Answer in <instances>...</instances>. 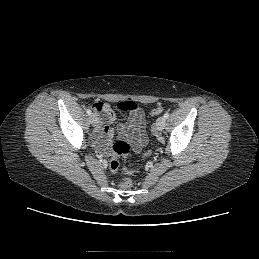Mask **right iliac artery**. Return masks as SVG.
Segmentation results:
<instances>
[{
  "mask_svg": "<svg viewBox=\"0 0 259 259\" xmlns=\"http://www.w3.org/2000/svg\"><path fill=\"white\" fill-rule=\"evenodd\" d=\"M87 114H88V115H91V114H92V112H91L90 109H87Z\"/></svg>",
  "mask_w": 259,
  "mask_h": 259,
  "instance_id": "right-iliac-artery-1",
  "label": "right iliac artery"
}]
</instances>
